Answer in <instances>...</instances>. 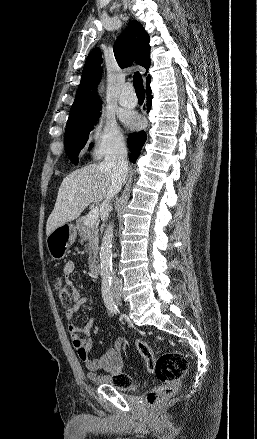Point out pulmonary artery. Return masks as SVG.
Returning <instances> with one entry per match:
<instances>
[{"instance_id": "1", "label": "pulmonary artery", "mask_w": 257, "mask_h": 439, "mask_svg": "<svg viewBox=\"0 0 257 439\" xmlns=\"http://www.w3.org/2000/svg\"><path fill=\"white\" fill-rule=\"evenodd\" d=\"M118 101L120 105L126 108H133L136 106L137 98L131 85L127 84L122 88Z\"/></svg>"}]
</instances>
